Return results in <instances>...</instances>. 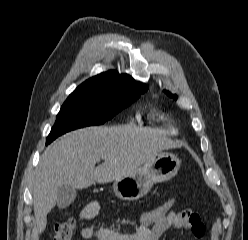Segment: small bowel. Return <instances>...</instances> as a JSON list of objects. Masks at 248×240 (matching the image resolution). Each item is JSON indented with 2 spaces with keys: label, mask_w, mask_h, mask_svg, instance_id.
Here are the masks:
<instances>
[{
  "label": "small bowel",
  "mask_w": 248,
  "mask_h": 240,
  "mask_svg": "<svg viewBox=\"0 0 248 240\" xmlns=\"http://www.w3.org/2000/svg\"><path fill=\"white\" fill-rule=\"evenodd\" d=\"M100 205L96 201L90 202L80 213L81 236L84 239L95 240H160L162 235L170 229L185 234L189 238L202 240L205 236V225L200 216L190 209L170 212L156 222L136 228L132 232H119L109 228L94 229L84 226L86 220L96 217L100 212Z\"/></svg>",
  "instance_id": "small-bowel-1"
}]
</instances>
